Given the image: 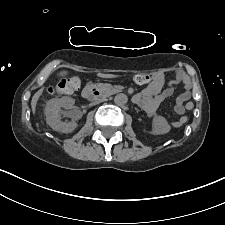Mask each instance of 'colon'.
I'll return each mask as SVG.
<instances>
[{
  "instance_id": "1",
  "label": "colon",
  "mask_w": 225,
  "mask_h": 225,
  "mask_svg": "<svg viewBox=\"0 0 225 225\" xmlns=\"http://www.w3.org/2000/svg\"><path fill=\"white\" fill-rule=\"evenodd\" d=\"M133 80L137 84H147L152 80V77L148 74H138L133 77ZM80 79L77 76H73L70 78L60 79L57 84L54 86H50L48 88L49 94L59 93V94H70L80 86ZM193 108L192 102H187L184 104V109L191 110ZM187 118H182L179 121V126L185 124Z\"/></svg>"
}]
</instances>
